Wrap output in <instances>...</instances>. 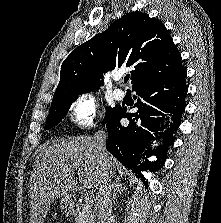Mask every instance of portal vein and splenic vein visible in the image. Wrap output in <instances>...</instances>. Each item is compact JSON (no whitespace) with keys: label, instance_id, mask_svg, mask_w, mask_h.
<instances>
[{"label":"portal vein and splenic vein","instance_id":"18ae733b","mask_svg":"<svg viewBox=\"0 0 221 223\" xmlns=\"http://www.w3.org/2000/svg\"><path fill=\"white\" fill-rule=\"evenodd\" d=\"M85 200H86V202H93V200H94V194H93V192L92 191H86L85 192Z\"/></svg>","mask_w":221,"mask_h":223}]
</instances>
